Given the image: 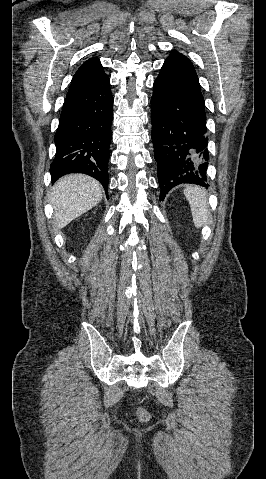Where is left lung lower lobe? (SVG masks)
I'll list each match as a JSON object with an SVG mask.
<instances>
[{
	"mask_svg": "<svg viewBox=\"0 0 266 479\" xmlns=\"http://www.w3.org/2000/svg\"><path fill=\"white\" fill-rule=\"evenodd\" d=\"M153 93L151 136L160 200L181 183L207 188L206 114L197 75L165 61L154 82Z\"/></svg>",
	"mask_w": 266,
	"mask_h": 479,
	"instance_id": "obj_1",
	"label": "left lung lower lobe"
}]
</instances>
